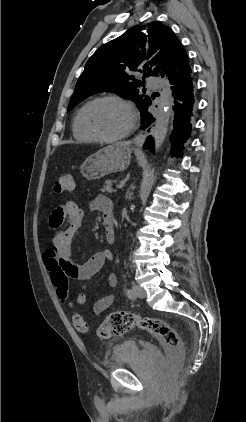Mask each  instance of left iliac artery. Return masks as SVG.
I'll return each mask as SVG.
<instances>
[{
  "label": "left iliac artery",
  "instance_id": "44dca946",
  "mask_svg": "<svg viewBox=\"0 0 246 422\" xmlns=\"http://www.w3.org/2000/svg\"><path fill=\"white\" fill-rule=\"evenodd\" d=\"M127 296L131 299H134L136 297V294L133 289H127Z\"/></svg>",
  "mask_w": 246,
  "mask_h": 422
}]
</instances>
